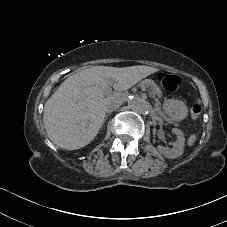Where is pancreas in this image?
<instances>
[{
    "instance_id": "1",
    "label": "pancreas",
    "mask_w": 227,
    "mask_h": 227,
    "mask_svg": "<svg viewBox=\"0 0 227 227\" xmlns=\"http://www.w3.org/2000/svg\"><path fill=\"white\" fill-rule=\"evenodd\" d=\"M143 84V86L146 88V89H149V90H151L152 91V98H153V100H154V105L152 106L153 107V109L156 111V113L158 114V115H160V117L162 118V119H164V121L167 123H170L171 125L173 124V125H175L176 123L175 122H173V120L170 118V117H166L167 116V114H166V112L165 111H163L161 108H160V105H159V103L156 101V99H155V91H154V89L152 88V87H150V86H147L146 85V83L145 82H143L142 83Z\"/></svg>"
}]
</instances>
